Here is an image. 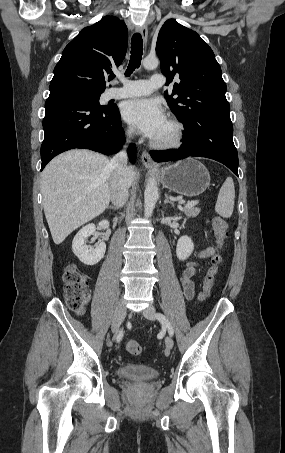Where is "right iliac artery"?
<instances>
[{
	"instance_id": "1",
	"label": "right iliac artery",
	"mask_w": 285,
	"mask_h": 453,
	"mask_svg": "<svg viewBox=\"0 0 285 453\" xmlns=\"http://www.w3.org/2000/svg\"><path fill=\"white\" fill-rule=\"evenodd\" d=\"M122 336H123V331L121 330L117 336V342L121 341Z\"/></svg>"
}]
</instances>
